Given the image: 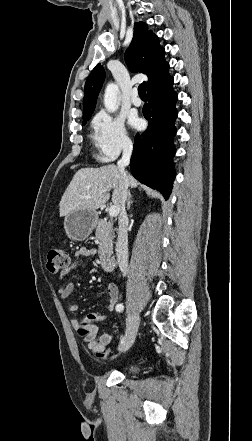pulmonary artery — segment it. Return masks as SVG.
Returning <instances> with one entry per match:
<instances>
[{"label": "pulmonary artery", "instance_id": "1", "mask_svg": "<svg viewBox=\"0 0 252 441\" xmlns=\"http://www.w3.org/2000/svg\"><path fill=\"white\" fill-rule=\"evenodd\" d=\"M131 103L135 106H140L141 105V100L138 96L137 90H133L132 95H131Z\"/></svg>", "mask_w": 252, "mask_h": 441}]
</instances>
